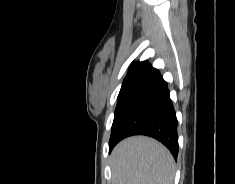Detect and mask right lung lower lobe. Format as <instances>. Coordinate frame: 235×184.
Instances as JSON below:
<instances>
[{
	"instance_id": "obj_1",
	"label": "right lung lower lobe",
	"mask_w": 235,
	"mask_h": 184,
	"mask_svg": "<svg viewBox=\"0 0 235 184\" xmlns=\"http://www.w3.org/2000/svg\"><path fill=\"white\" fill-rule=\"evenodd\" d=\"M146 135L162 142L178 155L177 119L167 83L157 69L126 90L116 107L109 141V152L122 139Z\"/></svg>"
}]
</instances>
